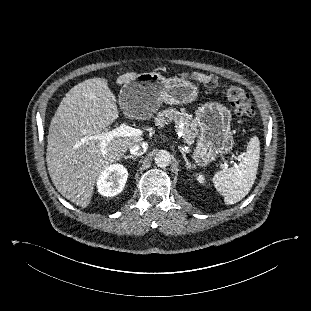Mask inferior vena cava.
Instances as JSON below:
<instances>
[{
  "mask_svg": "<svg viewBox=\"0 0 311 311\" xmlns=\"http://www.w3.org/2000/svg\"><path fill=\"white\" fill-rule=\"evenodd\" d=\"M147 149V145L146 144H142V147L139 144H135L132 147H130V153L133 155H142Z\"/></svg>",
  "mask_w": 311,
  "mask_h": 311,
  "instance_id": "602c4592",
  "label": "inferior vena cava"
}]
</instances>
